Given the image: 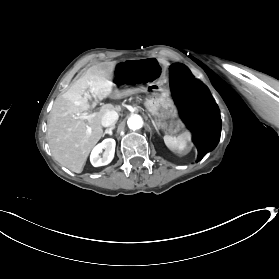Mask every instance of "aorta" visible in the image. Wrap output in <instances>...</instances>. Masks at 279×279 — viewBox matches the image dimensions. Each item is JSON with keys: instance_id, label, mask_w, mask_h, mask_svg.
Wrapping results in <instances>:
<instances>
[{"instance_id": "762f6f07", "label": "aorta", "mask_w": 279, "mask_h": 279, "mask_svg": "<svg viewBox=\"0 0 279 279\" xmlns=\"http://www.w3.org/2000/svg\"><path fill=\"white\" fill-rule=\"evenodd\" d=\"M127 124L130 129L137 130L143 126V121L139 115H133L128 119Z\"/></svg>"}]
</instances>
